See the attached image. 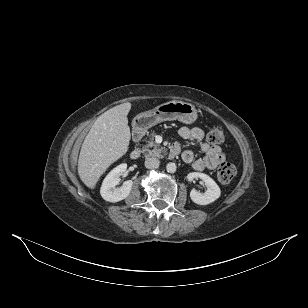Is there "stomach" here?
I'll use <instances>...</instances> for the list:
<instances>
[{"mask_svg": "<svg viewBox=\"0 0 308 308\" xmlns=\"http://www.w3.org/2000/svg\"><path fill=\"white\" fill-rule=\"evenodd\" d=\"M196 119L197 110L194 105L174 100L138 114L133 120V126L136 130L145 131L163 121L178 120L185 124H191Z\"/></svg>", "mask_w": 308, "mask_h": 308, "instance_id": "0dacf381", "label": "stomach"}]
</instances>
